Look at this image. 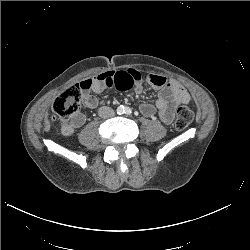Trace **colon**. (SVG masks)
<instances>
[{
  "mask_svg": "<svg viewBox=\"0 0 250 250\" xmlns=\"http://www.w3.org/2000/svg\"><path fill=\"white\" fill-rule=\"evenodd\" d=\"M81 94L82 90L78 84L62 91L53 102V113L61 119L74 116L80 108ZM193 118L194 114L190 108L186 106L179 107L176 112L174 126L177 130H184L192 123Z\"/></svg>",
  "mask_w": 250,
  "mask_h": 250,
  "instance_id": "5ec220e1",
  "label": "colon"
}]
</instances>
